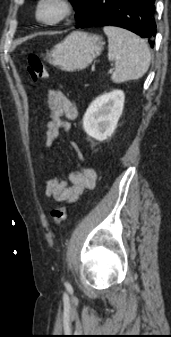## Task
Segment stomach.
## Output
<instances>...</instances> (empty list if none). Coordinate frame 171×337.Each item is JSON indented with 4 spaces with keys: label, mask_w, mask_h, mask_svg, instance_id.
<instances>
[{
    "label": "stomach",
    "mask_w": 171,
    "mask_h": 337,
    "mask_svg": "<svg viewBox=\"0 0 171 337\" xmlns=\"http://www.w3.org/2000/svg\"><path fill=\"white\" fill-rule=\"evenodd\" d=\"M102 38L81 31L72 32L48 54L50 64L74 72L88 67L103 50Z\"/></svg>",
    "instance_id": "0dacf381"
}]
</instances>
